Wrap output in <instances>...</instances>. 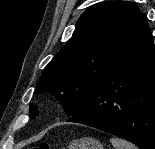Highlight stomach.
I'll return each mask as SVG.
<instances>
[{"label":"stomach","instance_id":"0dacf381","mask_svg":"<svg viewBox=\"0 0 155 149\" xmlns=\"http://www.w3.org/2000/svg\"><path fill=\"white\" fill-rule=\"evenodd\" d=\"M68 149H103V146L94 138L84 137L72 141Z\"/></svg>","mask_w":155,"mask_h":149}]
</instances>
